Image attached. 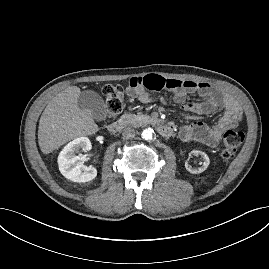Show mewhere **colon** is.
<instances>
[{
	"label": "colon",
	"instance_id": "obj_1",
	"mask_svg": "<svg viewBox=\"0 0 269 269\" xmlns=\"http://www.w3.org/2000/svg\"><path fill=\"white\" fill-rule=\"evenodd\" d=\"M107 110L111 117H115L123 110L124 89L120 85L107 84L102 89ZM244 140V133L239 130H227L223 136L221 157L225 161L231 160Z\"/></svg>",
	"mask_w": 269,
	"mask_h": 269
}]
</instances>
